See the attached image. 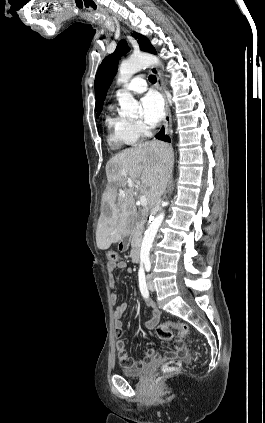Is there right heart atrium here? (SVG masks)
I'll return each instance as SVG.
<instances>
[{
	"label": "right heart atrium",
	"instance_id": "right-heart-atrium-1",
	"mask_svg": "<svg viewBox=\"0 0 265 423\" xmlns=\"http://www.w3.org/2000/svg\"><path fill=\"white\" fill-rule=\"evenodd\" d=\"M133 126L139 137L146 136L149 133V127L139 120L133 121Z\"/></svg>",
	"mask_w": 265,
	"mask_h": 423
}]
</instances>
